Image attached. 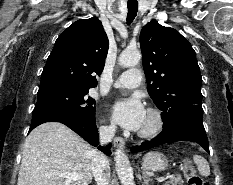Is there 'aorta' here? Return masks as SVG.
Masks as SVG:
<instances>
[{
	"label": "aorta",
	"mask_w": 233,
	"mask_h": 185,
	"mask_svg": "<svg viewBox=\"0 0 233 185\" xmlns=\"http://www.w3.org/2000/svg\"><path fill=\"white\" fill-rule=\"evenodd\" d=\"M141 53L137 49H126L119 56V64L124 67H132L138 64ZM115 168L122 185H135L133 169L122 149H117L114 156Z\"/></svg>",
	"instance_id": "1"
}]
</instances>
